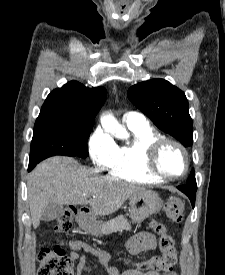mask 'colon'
Here are the masks:
<instances>
[{
	"label": "colon",
	"mask_w": 225,
	"mask_h": 275,
	"mask_svg": "<svg viewBox=\"0 0 225 275\" xmlns=\"http://www.w3.org/2000/svg\"><path fill=\"white\" fill-rule=\"evenodd\" d=\"M184 201L173 199L166 202L164 212L167 218L173 222L181 223L183 219ZM76 208L69 207L53 222L56 231H68L73 225L76 216ZM154 230L159 235L161 255L144 261L140 268L149 271H170L176 262V250L172 236L167 233L161 224H155ZM39 275H74L71 258L60 247L42 248L38 254Z\"/></svg>",
	"instance_id": "colon-1"
}]
</instances>
